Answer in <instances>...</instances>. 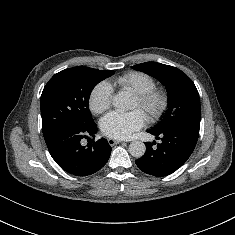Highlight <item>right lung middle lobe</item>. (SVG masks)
<instances>
[{"label": "right lung middle lobe", "instance_id": "1", "mask_svg": "<svg viewBox=\"0 0 235 235\" xmlns=\"http://www.w3.org/2000/svg\"><path fill=\"white\" fill-rule=\"evenodd\" d=\"M114 74L89 67H74L55 74L41 95L42 130L45 140L58 129L88 127L94 124L89 111L93 88Z\"/></svg>", "mask_w": 235, "mask_h": 235}]
</instances>
